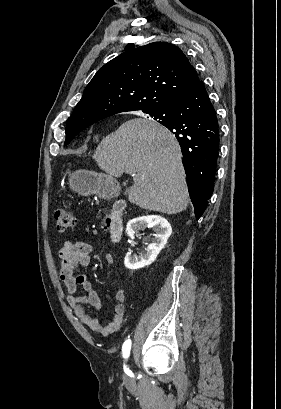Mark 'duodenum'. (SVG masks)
Returning a JSON list of instances; mask_svg holds the SVG:
<instances>
[{
  "mask_svg": "<svg viewBox=\"0 0 281 409\" xmlns=\"http://www.w3.org/2000/svg\"><path fill=\"white\" fill-rule=\"evenodd\" d=\"M126 208V203L123 200L116 201L105 220L104 226L107 229L110 238L114 242H118L123 233L124 221L123 213Z\"/></svg>",
  "mask_w": 281,
  "mask_h": 409,
  "instance_id": "1",
  "label": "duodenum"
}]
</instances>
